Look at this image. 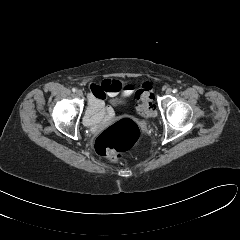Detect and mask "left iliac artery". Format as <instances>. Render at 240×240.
<instances>
[{"instance_id": "obj_1", "label": "left iliac artery", "mask_w": 240, "mask_h": 240, "mask_svg": "<svg viewBox=\"0 0 240 240\" xmlns=\"http://www.w3.org/2000/svg\"><path fill=\"white\" fill-rule=\"evenodd\" d=\"M178 92V90L175 88V89H173V93H177Z\"/></svg>"}]
</instances>
